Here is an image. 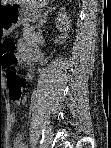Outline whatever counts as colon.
I'll list each match as a JSON object with an SVG mask.
<instances>
[{"mask_svg": "<svg viewBox=\"0 0 111 148\" xmlns=\"http://www.w3.org/2000/svg\"><path fill=\"white\" fill-rule=\"evenodd\" d=\"M7 48L9 50L13 49V44L12 43H8L7 44ZM13 61V57L12 56H6L3 60V64L5 66L9 65L10 63H12ZM7 83L9 85L10 88V96L12 99H18L21 96V83L19 81V79L15 76V74L12 71H8V78H7Z\"/></svg>", "mask_w": 111, "mask_h": 148, "instance_id": "5ec220e1", "label": "colon"}]
</instances>
